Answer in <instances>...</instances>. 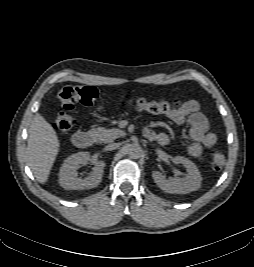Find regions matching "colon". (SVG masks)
Here are the masks:
<instances>
[{
	"instance_id": "colon-1",
	"label": "colon",
	"mask_w": 254,
	"mask_h": 267,
	"mask_svg": "<svg viewBox=\"0 0 254 267\" xmlns=\"http://www.w3.org/2000/svg\"><path fill=\"white\" fill-rule=\"evenodd\" d=\"M58 100L65 111H72L78 104L85 106L97 105L99 108L105 107V102L99 97V93L95 87L66 85L58 93ZM126 105H133L139 110L147 111L153 115L168 114L177 107V102L164 98L145 99L138 98L135 100L125 99ZM76 123L74 116L67 112H60L53 123V127L58 132H66L70 130ZM209 163L213 170L219 171L225 164V156L220 150H213L209 156Z\"/></svg>"
}]
</instances>
